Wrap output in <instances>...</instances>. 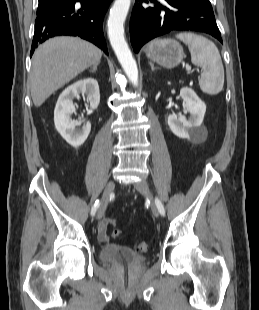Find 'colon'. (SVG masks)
<instances>
[{
    "label": "colon",
    "mask_w": 259,
    "mask_h": 310,
    "mask_svg": "<svg viewBox=\"0 0 259 310\" xmlns=\"http://www.w3.org/2000/svg\"><path fill=\"white\" fill-rule=\"evenodd\" d=\"M105 223L107 225H110V226H115L116 225V220L113 219V218H108L105 220ZM122 232L120 229H114L112 231V236L114 238H119L121 236ZM150 248V243L148 241H140L138 242L134 249L136 252H140V253H144V252H147Z\"/></svg>",
    "instance_id": "colon-1"
}]
</instances>
